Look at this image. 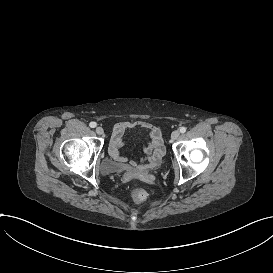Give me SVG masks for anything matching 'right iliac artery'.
<instances>
[{"instance_id":"right-iliac-artery-1","label":"right iliac artery","mask_w":273,"mask_h":273,"mask_svg":"<svg viewBox=\"0 0 273 273\" xmlns=\"http://www.w3.org/2000/svg\"><path fill=\"white\" fill-rule=\"evenodd\" d=\"M96 122H90V124H89V126L91 127V128H94V127H96Z\"/></svg>"}]
</instances>
